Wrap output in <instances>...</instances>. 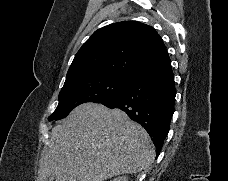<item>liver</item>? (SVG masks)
Here are the masks:
<instances>
[{
	"label": "liver",
	"mask_w": 228,
	"mask_h": 181,
	"mask_svg": "<svg viewBox=\"0 0 228 181\" xmlns=\"http://www.w3.org/2000/svg\"><path fill=\"white\" fill-rule=\"evenodd\" d=\"M155 157L145 129L124 111L83 103L53 127L38 181H106L148 169Z\"/></svg>",
	"instance_id": "obj_1"
}]
</instances>
